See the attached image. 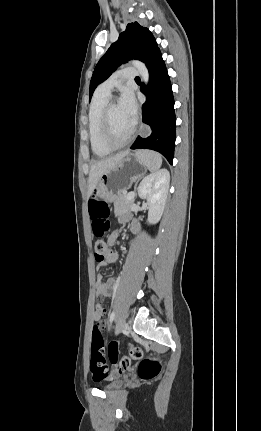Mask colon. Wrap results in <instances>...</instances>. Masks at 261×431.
<instances>
[{
	"instance_id": "colon-1",
	"label": "colon",
	"mask_w": 261,
	"mask_h": 431,
	"mask_svg": "<svg viewBox=\"0 0 261 431\" xmlns=\"http://www.w3.org/2000/svg\"><path fill=\"white\" fill-rule=\"evenodd\" d=\"M89 213L92 219V228L97 240L94 244V255L97 262L103 261L112 253L108 243L102 239V236L109 230L110 222L108 220L109 209L107 205L99 200L92 199L89 202ZM101 325L97 324L92 332L91 346V379L95 384L105 383L106 381L120 379L121 373L129 370L130 360H140L138 373L140 378L151 380L155 378L160 370L161 364L158 360L152 358L143 359V351L133 343L129 348V356H121L117 342H111L107 348L108 359L111 364H106L104 354V342L102 338Z\"/></svg>"
}]
</instances>
